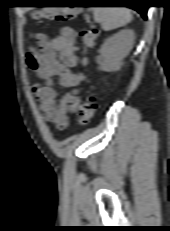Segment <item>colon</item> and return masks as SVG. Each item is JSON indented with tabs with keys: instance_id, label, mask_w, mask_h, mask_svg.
<instances>
[{
	"instance_id": "1",
	"label": "colon",
	"mask_w": 170,
	"mask_h": 231,
	"mask_svg": "<svg viewBox=\"0 0 170 231\" xmlns=\"http://www.w3.org/2000/svg\"><path fill=\"white\" fill-rule=\"evenodd\" d=\"M77 12L78 10L73 8H44L34 12V17L43 20L65 21L72 19L77 14ZM97 36L98 29L94 26L80 29L78 32L79 39L87 47L94 45ZM96 108L97 100L95 96L92 94L88 95L79 106L76 121L82 125L86 124L93 117Z\"/></svg>"
}]
</instances>
